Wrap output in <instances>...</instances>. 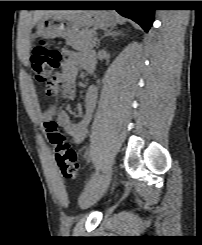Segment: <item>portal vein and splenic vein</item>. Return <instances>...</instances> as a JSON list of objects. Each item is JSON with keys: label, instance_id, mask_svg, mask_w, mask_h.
<instances>
[{"label": "portal vein and splenic vein", "instance_id": "obj_1", "mask_svg": "<svg viewBox=\"0 0 202 245\" xmlns=\"http://www.w3.org/2000/svg\"><path fill=\"white\" fill-rule=\"evenodd\" d=\"M96 40H97V39H96V38H94V42H96Z\"/></svg>", "mask_w": 202, "mask_h": 245}]
</instances>
